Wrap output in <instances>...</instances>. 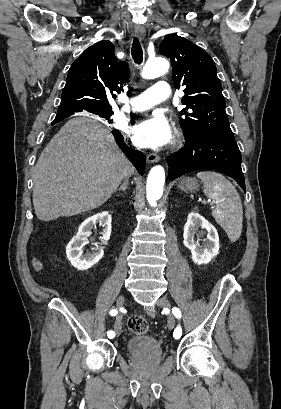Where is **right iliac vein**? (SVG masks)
I'll use <instances>...</instances> for the list:
<instances>
[{
    "instance_id": "right-iliac-vein-1",
    "label": "right iliac vein",
    "mask_w": 281,
    "mask_h": 409,
    "mask_svg": "<svg viewBox=\"0 0 281 409\" xmlns=\"http://www.w3.org/2000/svg\"><path fill=\"white\" fill-rule=\"evenodd\" d=\"M124 296L123 295H119L117 300H116V306L118 309H121L124 305ZM122 314L119 313L116 317V321H115V325H114V329H115V333L117 336H119L121 334V330H122Z\"/></svg>"
}]
</instances>
